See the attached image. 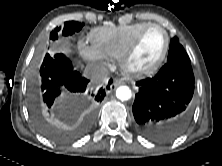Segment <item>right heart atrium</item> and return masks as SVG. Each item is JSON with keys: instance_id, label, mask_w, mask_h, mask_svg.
I'll return each mask as SVG.
<instances>
[{"instance_id": "1", "label": "right heart atrium", "mask_w": 222, "mask_h": 166, "mask_svg": "<svg viewBox=\"0 0 222 166\" xmlns=\"http://www.w3.org/2000/svg\"><path fill=\"white\" fill-rule=\"evenodd\" d=\"M79 50L82 56L91 63L103 64L105 57L102 56L93 46L85 41L79 42Z\"/></svg>"}]
</instances>
